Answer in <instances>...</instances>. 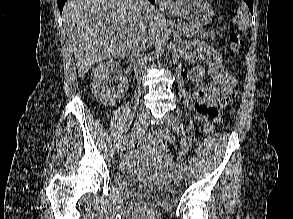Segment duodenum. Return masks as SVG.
Listing matches in <instances>:
<instances>
[{
    "label": "duodenum",
    "mask_w": 293,
    "mask_h": 219,
    "mask_svg": "<svg viewBox=\"0 0 293 219\" xmlns=\"http://www.w3.org/2000/svg\"><path fill=\"white\" fill-rule=\"evenodd\" d=\"M135 61H136V57H135L134 55H132V56L130 57V63H131V64H135Z\"/></svg>",
    "instance_id": "duodenum-1"
}]
</instances>
